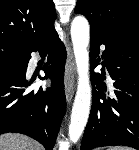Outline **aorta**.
I'll return each mask as SVG.
<instances>
[{
	"mask_svg": "<svg viewBox=\"0 0 139 150\" xmlns=\"http://www.w3.org/2000/svg\"><path fill=\"white\" fill-rule=\"evenodd\" d=\"M89 22L84 16H76L71 24V38L78 72V87L72 107L69 138L77 142L88 121L91 106L89 80Z\"/></svg>",
	"mask_w": 139,
	"mask_h": 150,
	"instance_id": "762f6f07",
	"label": "aorta"
}]
</instances>
